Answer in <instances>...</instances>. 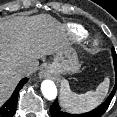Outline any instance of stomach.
Instances as JSON below:
<instances>
[{
	"label": "stomach",
	"instance_id": "obj_1",
	"mask_svg": "<svg viewBox=\"0 0 117 117\" xmlns=\"http://www.w3.org/2000/svg\"><path fill=\"white\" fill-rule=\"evenodd\" d=\"M47 70L56 74H74L80 69L76 51L69 45L58 51L52 63L47 65Z\"/></svg>",
	"mask_w": 117,
	"mask_h": 117
}]
</instances>
